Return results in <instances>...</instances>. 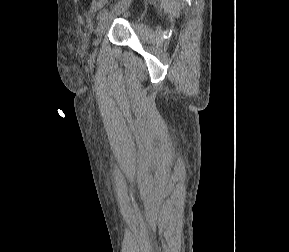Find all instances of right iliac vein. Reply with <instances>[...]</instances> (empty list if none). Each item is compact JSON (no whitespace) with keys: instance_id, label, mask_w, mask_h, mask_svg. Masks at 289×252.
<instances>
[{"instance_id":"right-iliac-vein-1","label":"right iliac vein","mask_w":289,"mask_h":252,"mask_svg":"<svg viewBox=\"0 0 289 252\" xmlns=\"http://www.w3.org/2000/svg\"><path fill=\"white\" fill-rule=\"evenodd\" d=\"M132 0H122L119 4H117L113 11L107 13L103 19H101L97 25L96 36H97V44L99 43L101 37L105 33L107 27L109 26L110 21L116 15L124 12L131 4Z\"/></svg>"}]
</instances>
